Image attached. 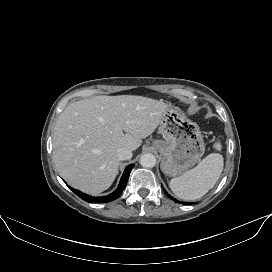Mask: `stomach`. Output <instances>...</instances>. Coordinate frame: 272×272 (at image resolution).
Segmentation results:
<instances>
[{
	"label": "stomach",
	"mask_w": 272,
	"mask_h": 272,
	"mask_svg": "<svg viewBox=\"0 0 272 272\" xmlns=\"http://www.w3.org/2000/svg\"><path fill=\"white\" fill-rule=\"evenodd\" d=\"M164 140H155L153 148L162 155L161 170L177 176L198 163L205 152L199 126L179 109L168 108L159 123Z\"/></svg>",
	"instance_id": "obj_1"
}]
</instances>
